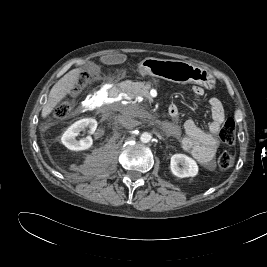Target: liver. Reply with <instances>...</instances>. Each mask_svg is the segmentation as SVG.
I'll use <instances>...</instances> for the list:
<instances>
[{
    "label": "liver",
    "mask_w": 267,
    "mask_h": 267,
    "mask_svg": "<svg viewBox=\"0 0 267 267\" xmlns=\"http://www.w3.org/2000/svg\"><path fill=\"white\" fill-rule=\"evenodd\" d=\"M81 68H76L66 73L51 89L48 100L43 106L41 116L46 118L53 109L78 85Z\"/></svg>",
    "instance_id": "liver-1"
}]
</instances>
